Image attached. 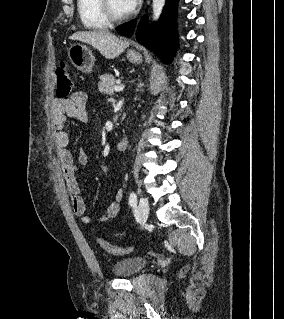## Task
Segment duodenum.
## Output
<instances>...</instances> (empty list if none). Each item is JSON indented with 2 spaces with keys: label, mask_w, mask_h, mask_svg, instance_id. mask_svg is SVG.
<instances>
[{
  "label": "duodenum",
  "mask_w": 284,
  "mask_h": 319,
  "mask_svg": "<svg viewBox=\"0 0 284 319\" xmlns=\"http://www.w3.org/2000/svg\"><path fill=\"white\" fill-rule=\"evenodd\" d=\"M128 146V139L123 138L119 142L116 143V149L119 151L125 150Z\"/></svg>",
  "instance_id": "1"
}]
</instances>
